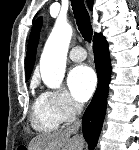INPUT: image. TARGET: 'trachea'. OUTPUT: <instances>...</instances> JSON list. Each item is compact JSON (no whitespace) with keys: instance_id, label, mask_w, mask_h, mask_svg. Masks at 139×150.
Listing matches in <instances>:
<instances>
[{"instance_id":"1","label":"trachea","mask_w":139,"mask_h":150,"mask_svg":"<svg viewBox=\"0 0 139 150\" xmlns=\"http://www.w3.org/2000/svg\"><path fill=\"white\" fill-rule=\"evenodd\" d=\"M71 6L80 33L86 41L91 42L93 30L84 0H71Z\"/></svg>"}]
</instances>
